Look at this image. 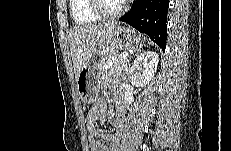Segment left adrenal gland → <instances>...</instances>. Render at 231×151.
<instances>
[{
	"instance_id": "1",
	"label": "left adrenal gland",
	"mask_w": 231,
	"mask_h": 151,
	"mask_svg": "<svg viewBox=\"0 0 231 151\" xmlns=\"http://www.w3.org/2000/svg\"><path fill=\"white\" fill-rule=\"evenodd\" d=\"M128 62H129V61H128ZM126 72H127V74H129V73H130V68L127 67ZM129 75H130V74H129Z\"/></svg>"
}]
</instances>
